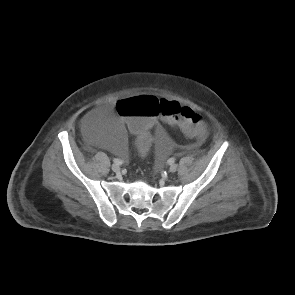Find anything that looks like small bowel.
I'll list each match as a JSON object with an SVG mask.
<instances>
[{
    "label": "small bowel",
    "mask_w": 295,
    "mask_h": 295,
    "mask_svg": "<svg viewBox=\"0 0 295 295\" xmlns=\"http://www.w3.org/2000/svg\"><path fill=\"white\" fill-rule=\"evenodd\" d=\"M132 98H134V97H132ZM130 99V98H129ZM126 100V99H125ZM117 105V104H116ZM94 113H98V112H94ZM93 114V113H92ZM160 116V115H159ZM164 122H166V123H168V124H172L170 121H164ZM156 125H160L159 124V121H156V123L153 125V127H152V129L154 128V126H156ZM173 125V124H172ZM135 134V133H134Z\"/></svg>",
    "instance_id": "obj_1"
}]
</instances>
